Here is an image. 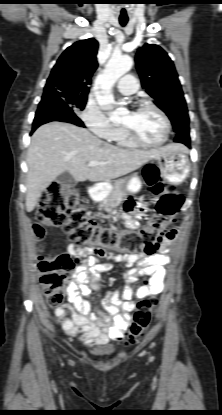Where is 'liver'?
Segmentation results:
<instances>
[{
    "instance_id": "1",
    "label": "liver",
    "mask_w": 222,
    "mask_h": 415,
    "mask_svg": "<svg viewBox=\"0 0 222 415\" xmlns=\"http://www.w3.org/2000/svg\"><path fill=\"white\" fill-rule=\"evenodd\" d=\"M172 150L185 151L186 148L181 144H170L150 150L122 149L72 124H44L32 135L27 152L26 210H34L41 193L63 172H69L81 182L109 181ZM90 161L104 164L90 167Z\"/></svg>"
}]
</instances>
